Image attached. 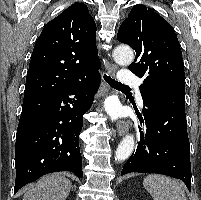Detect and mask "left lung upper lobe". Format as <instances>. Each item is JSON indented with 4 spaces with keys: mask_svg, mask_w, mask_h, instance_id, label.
Wrapping results in <instances>:
<instances>
[{
    "mask_svg": "<svg viewBox=\"0 0 201 200\" xmlns=\"http://www.w3.org/2000/svg\"><path fill=\"white\" fill-rule=\"evenodd\" d=\"M118 41L136 53L129 69L144 79L141 95L158 88L185 89L184 64L177 35L172 26L145 5H135L121 24Z\"/></svg>",
    "mask_w": 201,
    "mask_h": 200,
    "instance_id": "obj_1",
    "label": "left lung upper lobe"
}]
</instances>
